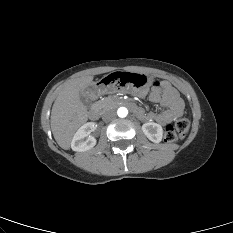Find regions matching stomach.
<instances>
[{
    "label": "stomach",
    "mask_w": 233,
    "mask_h": 233,
    "mask_svg": "<svg viewBox=\"0 0 233 233\" xmlns=\"http://www.w3.org/2000/svg\"><path fill=\"white\" fill-rule=\"evenodd\" d=\"M152 81V77L148 74L127 71L103 75L101 84L96 86V88L98 94H104L111 90H118L123 87H147L151 85Z\"/></svg>",
    "instance_id": "obj_1"
}]
</instances>
